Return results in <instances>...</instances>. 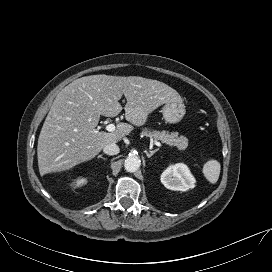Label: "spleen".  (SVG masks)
<instances>
[{
	"label": "spleen",
	"mask_w": 272,
	"mask_h": 272,
	"mask_svg": "<svg viewBox=\"0 0 272 272\" xmlns=\"http://www.w3.org/2000/svg\"><path fill=\"white\" fill-rule=\"evenodd\" d=\"M220 169V163L215 159H210L203 166V174L211 184H215L218 181Z\"/></svg>",
	"instance_id": "1"
}]
</instances>
